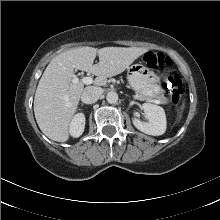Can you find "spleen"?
Segmentation results:
<instances>
[{
	"instance_id": "3e777b00",
	"label": "spleen",
	"mask_w": 220,
	"mask_h": 220,
	"mask_svg": "<svg viewBox=\"0 0 220 220\" xmlns=\"http://www.w3.org/2000/svg\"><path fill=\"white\" fill-rule=\"evenodd\" d=\"M184 107H185V105H184V103H182L180 110H179V115L177 117V123L180 122V120L182 118V113H183Z\"/></svg>"
}]
</instances>
